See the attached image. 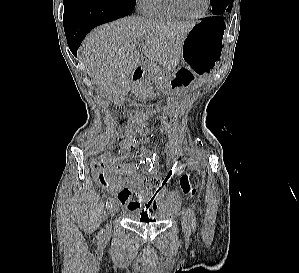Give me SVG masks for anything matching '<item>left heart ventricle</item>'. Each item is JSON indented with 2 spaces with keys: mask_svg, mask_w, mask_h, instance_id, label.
<instances>
[{
  "mask_svg": "<svg viewBox=\"0 0 299 273\" xmlns=\"http://www.w3.org/2000/svg\"><path fill=\"white\" fill-rule=\"evenodd\" d=\"M181 7L190 15H197L202 12L205 0H179Z\"/></svg>",
  "mask_w": 299,
  "mask_h": 273,
  "instance_id": "obj_1",
  "label": "left heart ventricle"
}]
</instances>
